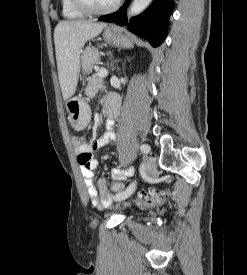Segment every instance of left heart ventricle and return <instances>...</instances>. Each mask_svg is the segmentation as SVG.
Masks as SVG:
<instances>
[{
    "mask_svg": "<svg viewBox=\"0 0 247 275\" xmlns=\"http://www.w3.org/2000/svg\"><path fill=\"white\" fill-rule=\"evenodd\" d=\"M85 3L94 9H102L110 7L116 0H83Z\"/></svg>",
    "mask_w": 247,
    "mask_h": 275,
    "instance_id": "obj_1",
    "label": "left heart ventricle"
}]
</instances>
